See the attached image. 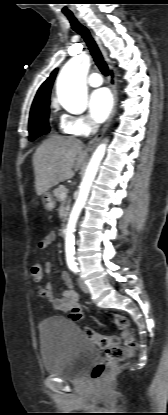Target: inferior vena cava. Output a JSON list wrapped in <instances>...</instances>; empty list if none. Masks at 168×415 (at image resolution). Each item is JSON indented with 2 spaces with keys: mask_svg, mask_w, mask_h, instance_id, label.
<instances>
[{
  "mask_svg": "<svg viewBox=\"0 0 168 415\" xmlns=\"http://www.w3.org/2000/svg\"><path fill=\"white\" fill-rule=\"evenodd\" d=\"M98 127H99V126H98L96 123H93V124H92V132H93V133H96V132H97V130H98Z\"/></svg>",
  "mask_w": 168,
  "mask_h": 415,
  "instance_id": "inferior-vena-cava-1",
  "label": "inferior vena cava"
}]
</instances>
